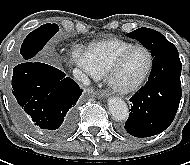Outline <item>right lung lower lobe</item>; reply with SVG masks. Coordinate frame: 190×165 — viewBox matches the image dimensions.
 I'll return each instance as SVG.
<instances>
[{
	"label": "right lung lower lobe",
	"mask_w": 190,
	"mask_h": 165,
	"mask_svg": "<svg viewBox=\"0 0 190 165\" xmlns=\"http://www.w3.org/2000/svg\"><path fill=\"white\" fill-rule=\"evenodd\" d=\"M82 91L65 73L44 63L25 61L13 69L11 103L17 119L51 139L74 130Z\"/></svg>",
	"instance_id": "98d812e1"
}]
</instances>
